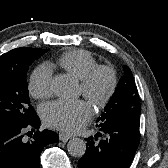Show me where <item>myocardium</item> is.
<instances>
[{"label": "myocardium", "mask_w": 168, "mask_h": 168, "mask_svg": "<svg viewBox=\"0 0 168 168\" xmlns=\"http://www.w3.org/2000/svg\"><path fill=\"white\" fill-rule=\"evenodd\" d=\"M101 77L106 79V88L102 92H98L96 85ZM80 80L82 95L97 108L106 107L116 92L117 76L115 70L110 66L97 65Z\"/></svg>", "instance_id": "myocardium-1"}]
</instances>
